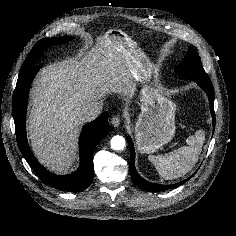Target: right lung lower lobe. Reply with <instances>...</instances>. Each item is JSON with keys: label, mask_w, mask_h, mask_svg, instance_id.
Instances as JSON below:
<instances>
[{"label": "right lung lower lobe", "mask_w": 236, "mask_h": 236, "mask_svg": "<svg viewBox=\"0 0 236 236\" xmlns=\"http://www.w3.org/2000/svg\"><path fill=\"white\" fill-rule=\"evenodd\" d=\"M38 66H31L20 72L12 101L16 139L19 149L37 176L46 184L63 191L80 192L93 180V152L97 144L108 135V113H103L96 120L83 128L80 139V167L70 175L58 176L47 171L31 153L26 136V105L28 91Z\"/></svg>", "instance_id": "obj_1"}]
</instances>
